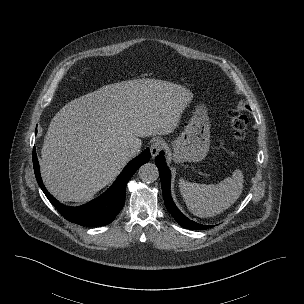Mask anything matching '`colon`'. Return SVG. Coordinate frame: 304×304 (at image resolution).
Wrapping results in <instances>:
<instances>
[{
    "label": "colon",
    "mask_w": 304,
    "mask_h": 304,
    "mask_svg": "<svg viewBox=\"0 0 304 304\" xmlns=\"http://www.w3.org/2000/svg\"><path fill=\"white\" fill-rule=\"evenodd\" d=\"M229 125L235 140H243L246 136L247 117L237 110H231L228 113Z\"/></svg>",
    "instance_id": "obj_1"
}]
</instances>
